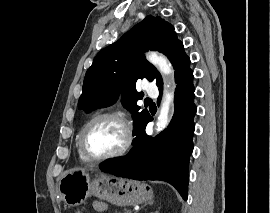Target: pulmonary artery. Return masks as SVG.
<instances>
[{"instance_id": "1", "label": "pulmonary artery", "mask_w": 270, "mask_h": 213, "mask_svg": "<svg viewBox=\"0 0 270 213\" xmlns=\"http://www.w3.org/2000/svg\"><path fill=\"white\" fill-rule=\"evenodd\" d=\"M145 92L149 96H157L158 95L157 86L152 82H148L145 86Z\"/></svg>"}]
</instances>
